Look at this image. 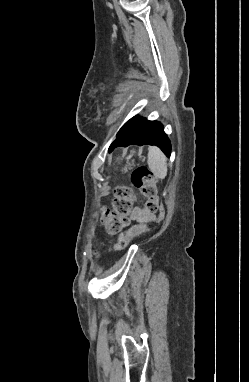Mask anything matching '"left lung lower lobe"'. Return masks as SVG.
Masks as SVG:
<instances>
[{
    "label": "left lung lower lobe",
    "mask_w": 249,
    "mask_h": 382,
    "mask_svg": "<svg viewBox=\"0 0 249 382\" xmlns=\"http://www.w3.org/2000/svg\"><path fill=\"white\" fill-rule=\"evenodd\" d=\"M156 145L167 157H170L171 144L164 133L163 126L157 121H148L146 118H140L130 129L119 133L117 138L111 144L109 151L118 146L128 145Z\"/></svg>",
    "instance_id": "1"
}]
</instances>
